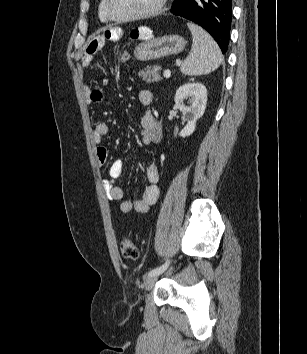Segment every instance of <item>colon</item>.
Segmentation results:
<instances>
[{
  "instance_id": "colon-1",
  "label": "colon",
  "mask_w": 307,
  "mask_h": 354,
  "mask_svg": "<svg viewBox=\"0 0 307 354\" xmlns=\"http://www.w3.org/2000/svg\"><path fill=\"white\" fill-rule=\"evenodd\" d=\"M120 62H126L129 59V53L127 51H121L118 54ZM120 250L124 258L137 259L139 252L134 241L129 237H123L120 240Z\"/></svg>"
}]
</instances>
